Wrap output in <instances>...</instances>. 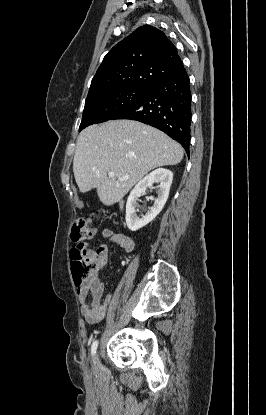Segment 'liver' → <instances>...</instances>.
<instances>
[{"label":"liver","instance_id":"liver-1","mask_svg":"<svg viewBox=\"0 0 266 415\" xmlns=\"http://www.w3.org/2000/svg\"><path fill=\"white\" fill-rule=\"evenodd\" d=\"M182 159V147L160 130L138 121L114 120L79 133L73 172L82 193L95 188L100 201L110 206L149 171ZM109 172L115 176L108 178ZM124 176L129 178L119 179Z\"/></svg>","mask_w":266,"mask_h":415}]
</instances>
